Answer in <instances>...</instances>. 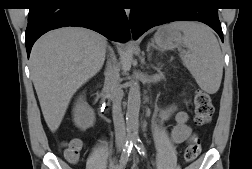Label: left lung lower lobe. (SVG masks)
I'll return each instance as SVG.
<instances>
[{
	"mask_svg": "<svg viewBox=\"0 0 252 169\" xmlns=\"http://www.w3.org/2000/svg\"><path fill=\"white\" fill-rule=\"evenodd\" d=\"M154 8L132 9L130 26L137 39L152 27L173 21H199L214 29L223 41V33L214 0H163Z\"/></svg>",
	"mask_w": 252,
	"mask_h": 169,
	"instance_id": "left-lung-lower-lobe-1",
	"label": "left lung lower lobe"
}]
</instances>
